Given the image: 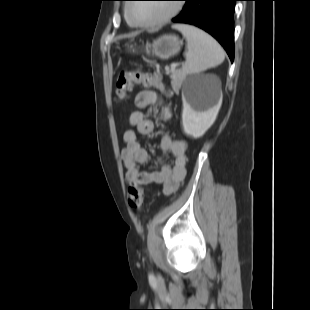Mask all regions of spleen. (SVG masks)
<instances>
[{"label": "spleen", "instance_id": "spleen-1", "mask_svg": "<svg viewBox=\"0 0 310 310\" xmlns=\"http://www.w3.org/2000/svg\"><path fill=\"white\" fill-rule=\"evenodd\" d=\"M173 28L179 30L187 41L186 61L180 71L182 75L200 73L224 61L222 47L203 30L187 24H177Z\"/></svg>", "mask_w": 310, "mask_h": 310}]
</instances>
